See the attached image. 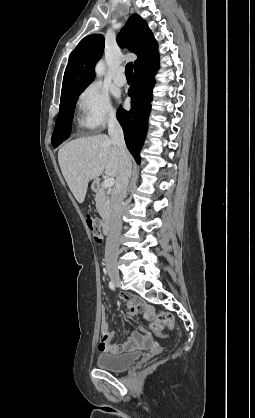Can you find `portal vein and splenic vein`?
Wrapping results in <instances>:
<instances>
[{"mask_svg": "<svg viewBox=\"0 0 255 418\" xmlns=\"http://www.w3.org/2000/svg\"><path fill=\"white\" fill-rule=\"evenodd\" d=\"M115 183V179L113 177H108L104 180L103 186L105 188H111Z\"/></svg>", "mask_w": 255, "mask_h": 418, "instance_id": "portal-vein-and-splenic-vein-1", "label": "portal vein and splenic vein"}]
</instances>
